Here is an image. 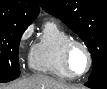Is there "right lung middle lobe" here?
Listing matches in <instances>:
<instances>
[{
	"mask_svg": "<svg viewBox=\"0 0 107 89\" xmlns=\"http://www.w3.org/2000/svg\"><path fill=\"white\" fill-rule=\"evenodd\" d=\"M28 25L0 21V82L19 77V42Z\"/></svg>",
	"mask_w": 107,
	"mask_h": 89,
	"instance_id": "dd1d6c3e",
	"label": "right lung middle lobe"
}]
</instances>
